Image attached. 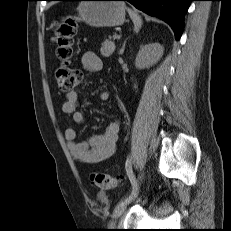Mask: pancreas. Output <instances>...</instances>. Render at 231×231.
<instances>
[{"instance_id":"obj_1","label":"pancreas","mask_w":231,"mask_h":231,"mask_svg":"<svg viewBox=\"0 0 231 231\" xmlns=\"http://www.w3.org/2000/svg\"><path fill=\"white\" fill-rule=\"evenodd\" d=\"M114 50H115V43L111 40H105L102 43L100 52L104 57H109L114 52Z\"/></svg>"}]
</instances>
